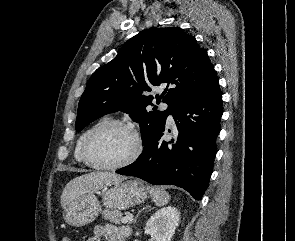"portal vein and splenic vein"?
<instances>
[{"label": "portal vein and splenic vein", "mask_w": 295, "mask_h": 241, "mask_svg": "<svg viewBox=\"0 0 295 241\" xmlns=\"http://www.w3.org/2000/svg\"><path fill=\"white\" fill-rule=\"evenodd\" d=\"M129 222V219L127 217L122 218V223L126 224Z\"/></svg>", "instance_id": "1"}]
</instances>
